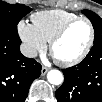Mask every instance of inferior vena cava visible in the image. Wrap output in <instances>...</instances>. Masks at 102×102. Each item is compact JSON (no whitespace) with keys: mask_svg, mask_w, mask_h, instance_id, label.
Returning a JSON list of instances; mask_svg holds the SVG:
<instances>
[{"mask_svg":"<svg viewBox=\"0 0 102 102\" xmlns=\"http://www.w3.org/2000/svg\"><path fill=\"white\" fill-rule=\"evenodd\" d=\"M20 51L25 57L28 58H35L37 56V50L34 47L27 44H22L20 46Z\"/></svg>","mask_w":102,"mask_h":102,"instance_id":"obj_1","label":"inferior vena cava"}]
</instances>
